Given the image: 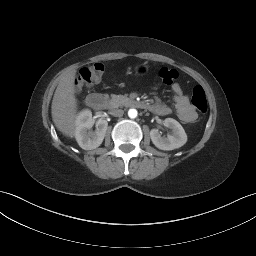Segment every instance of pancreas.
<instances>
[{
    "instance_id": "cf45deb5",
    "label": "pancreas",
    "mask_w": 256,
    "mask_h": 256,
    "mask_svg": "<svg viewBox=\"0 0 256 256\" xmlns=\"http://www.w3.org/2000/svg\"><path fill=\"white\" fill-rule=\"evenodd\" d=\"M105 97L108 99L109 106L114 108V107H119L125 105L127 102H129V98L123 95H115L112 94L109 98L108 95H105Z\"/></svg>"
}]
</instances>
